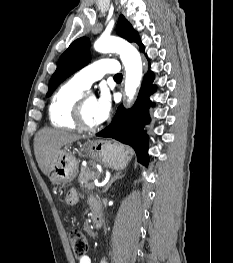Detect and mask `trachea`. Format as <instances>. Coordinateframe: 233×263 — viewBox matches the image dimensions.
<instances>
[{
  "instance_id": "trachea-1",
  "label": "trachea",
  "mask_w": 233,
  "mask_h": 263,
  "mask_svg": "<svg viewBox=\"0 0 233 263\" xmlns=\"http://www.w3.org/2000/svg\"><path fill=\"white\" fill-rule=\"evenodd\" d=\"M114 79H115L116 81H121V80H122V74L119 73V74L115 75V76H114Z\"/></svg>"
}]
</instances>
